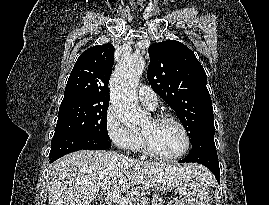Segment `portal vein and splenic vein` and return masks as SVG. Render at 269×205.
I'll list each match as a JSON object with an SVG mask.
<instances>
[{
	"label": "portal vein and splenic vein",
	"instance_id": "1",
	"mask_svg": "<svg viewBox=\"0 0 269 205\" xmlns=\"http://www.w3.org/2000/svg\"><path fill=\"white\" fill-rule=\"evenodd\" d=\"M110 187H111L110 182H106L101 185V188L105 193L107 199L119 205H134L133 201L129 197H125L116 192H110L109 191Z\"/></svg>",
	"mask_w": 269,
	"mask_h": 205
}]
</instances>
